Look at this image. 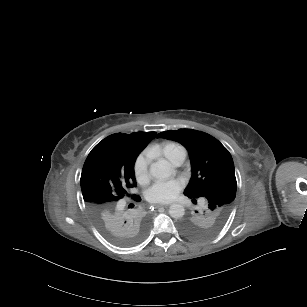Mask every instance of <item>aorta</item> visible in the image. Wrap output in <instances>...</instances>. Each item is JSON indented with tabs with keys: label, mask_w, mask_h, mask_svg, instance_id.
Here are the masks:
<instances>
[{
	"label": "aorta",
	"mask_w": 307,
	"mask_h": 307,
	"mask_svg": "<svg viewBox=\"0 0 307 307\" xmlns=\"http://www.w3.org/2000/svg\"><path fill=\"white\" fill-rule=\"evenodd\" d=\"M150 175L157 180L168 179L175 174V170L172 164L166 159H160L150 165ZM169 214L172 218L179 219L185 214V209L183 205L178 203H173L169 207Z\"/></svg>",
	"instance_id": "1"
}]
</instances>
